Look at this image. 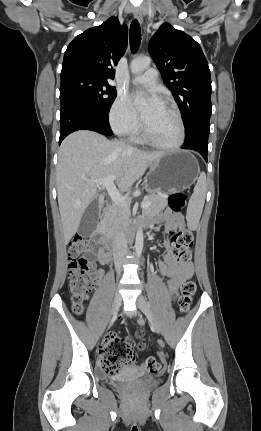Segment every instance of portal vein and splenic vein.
<instances>
[{"label":"portal vein and splenic vein","instance_id":"obj_1","mask_svg":"<svg viewBox=\"0 0 261 431\" xmlns=\"http://www.w3.org/2000/svg\"><path fill=\"white\" fill-rule=\"evenodd\" d=\"M114 176H108L103 179L98 180H90L89 182L96 184L97 186H104L107 189L108 194L110 195L111 199L115 202V204L122 206L124 208H128V203L126 199L121 196V194L118 192L117 188L114 185ZM150 205V202L144 200L141 203L142 208H146Z\"/></svg>","mask_w":261,"mask_h":431}]
</instances>
